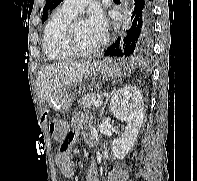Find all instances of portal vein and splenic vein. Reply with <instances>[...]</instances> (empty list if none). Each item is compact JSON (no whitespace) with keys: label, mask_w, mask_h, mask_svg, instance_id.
Returning a JSON list of instances; mask_svg holds the SVG:
<instances>
[{"label":"portal vein and splenic vein","mask_w":197,"mask_h":181,"mask_svg":"<svg viewBox=\"0 0 197 181\" xmlns=\"http://www.w3.org/2000/svg\"><path fill=\"white\" fill-rule=\"evenodd\" d=\"M102 104H103V101L102 100H98V101L95 102L94 106L99 107Z\"/></svg>","instance_id":"obj_1"}]
</instances>
